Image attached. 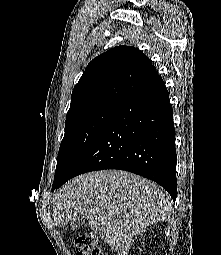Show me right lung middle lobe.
Masks as SVG:
<instances>
[{
    "label": "right lung middle lobe",
    "mask_w": 221,
    "mask_h": 255,
    "mask_svg": "<svg viewBox=\"0 0 221 255\" xmlns=\"http://www.w3.org/2000/svg\"><path fill=\"white\" fill-rule=\"evenodd\" d=\"M118 107L115 104L101 105L67 116L53 185L69 172Z\"/></svg>",
    "instance_id": "dd1d6c3e"
}]
</instances>
